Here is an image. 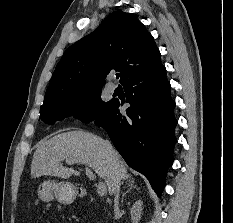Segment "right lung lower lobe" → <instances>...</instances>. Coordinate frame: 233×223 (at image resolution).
<instances>
[{
	"label": "right lung lower lobe",
	"mask_w": 233,
	"mask_h": 223,
	"mask_svg": "<svg viewBox=\"0 0 233 223\" xmlns=\"http://www.w3.org/2000/svg\"><path fill=\"white\" fill-rule=\"evenodd\" d=\"M122 85L130 103L126 115L118 110L120 102L112 100L94 119L95 124L106 129L126 163L145 175L160 196L173 162L177 124L166 69L159 63Z\"/></svg>",
	"instance_id": "obj_1"
}]
</instances>
